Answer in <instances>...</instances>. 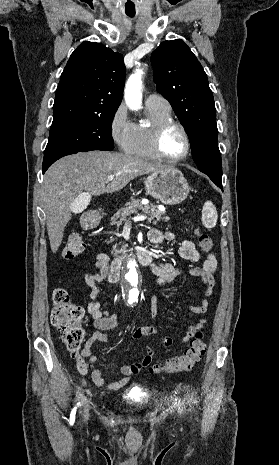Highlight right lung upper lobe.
<instances>
[{"mask_svg":"<svg viewBox=\"0 0 279 465\" xmlns=\"http://www.w3.org/2000/svg\"><path fill=\"white\" fill-rule=\"evenodd\" d=\"M124 83L123 56L100 43L84 41L61 74L52 124L117 110Z\"/></svg>","mask_w":279,"mask_h":465,"instance_id":"obj_1","label":"right lung upper lobe"}]
</instances>
